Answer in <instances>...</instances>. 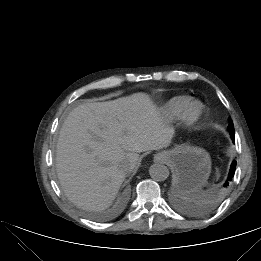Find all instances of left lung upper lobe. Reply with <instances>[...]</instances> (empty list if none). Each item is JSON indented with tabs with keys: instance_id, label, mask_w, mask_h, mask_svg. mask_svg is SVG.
Returning a JSON list of instances; mask_svg holds the SVG:
<instances>
[{
	"instance_id": "1",
	"label": "left lung upper lobe",
	"mask_w": 261,
	"mask_h": 261,
	"mask_svg": "<svg viewBox=\"0 0 261 261\" xmlns=\"http://www.w3.org/2000/svg\"><path fill=\"white\" fill-rule=\"evenodd\" d=\"M227 130L230 132L232 131L234 133V125H233V122L231 121L227 127ZM224 187H227L228 185L224 184L223 185Z\"/></svg>"
}]
</instances>
